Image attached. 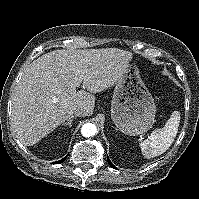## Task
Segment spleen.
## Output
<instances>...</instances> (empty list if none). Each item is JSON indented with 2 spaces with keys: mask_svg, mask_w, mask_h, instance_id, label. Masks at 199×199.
<instances>
[{
  "mask_svg": "<svg viewBox=\"0 0 199 199\" xmlns=\"http://www.w3.org/2000/svg\"><path fill=\"white\" fill-rule=\"evenodd\" d=\"M180 113L174 111L165 126L154 130L148 139L140 143L145 158H154L163 154L173 143L179 127Z\"/></svg>",
  "mask_w": 199,
  "mask_h": 199,
  "instance_id": "3e777b00",
  "label": "spleen"
}]
</instances>
